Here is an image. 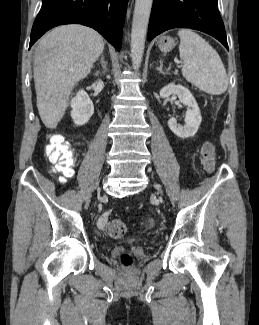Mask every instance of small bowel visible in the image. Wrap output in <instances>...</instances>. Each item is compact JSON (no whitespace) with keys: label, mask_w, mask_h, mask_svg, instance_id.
I'll use <instances>...</instances> for the list:
<instances>
[{"label":"small bowel","mask_w":259,"mask_h":325,"mask_svg":"<svg viewBox=\"0 0 259 325\" xmlns=\"http://www.w3.org/2000/svg\"><path fill=\"white\" fill-rule=\"evenodd\" d=\"M60 180H61L62 182H64V180H62L61 178H60ZM107 219H108V214H107V213L103 214V215L99 218L98 224H99V227H100V228H104Z\"/></svg>","instance_id":"small-bowel-1"}]
</instances>
